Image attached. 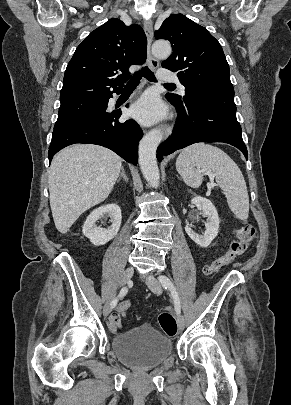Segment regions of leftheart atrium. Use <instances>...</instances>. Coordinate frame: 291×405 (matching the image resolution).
I'll return each mask as SVG.
<instances>
[{
  "label": "left heart atrium",
  "mask_w": 291,
  "mask_h": 405,
  "mask_svg": "<svg viewBox=\"0 0 291 405\" xmlns=\"http://www.w3.org/2000/svg\"><path fill=\"white\" fill-rule=\"evenodd\" d=\"M131 114L144 124H153L167 114L165 105L153 93L144 94L131 108Z\"/></svg>",
  "instance_id": "left-heart-atrium-1"
}]
</instances>
